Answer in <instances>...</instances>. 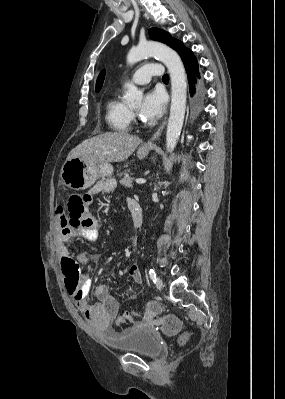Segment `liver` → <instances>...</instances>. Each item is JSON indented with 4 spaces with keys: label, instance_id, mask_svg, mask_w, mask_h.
Here are the masks:
<instances>
[{
    "label": "liver",
    "instance_id": "liver-1",
    "mask_svg": "<svg viewBox=\"0 0 285 399\" xmlns=\"http://www.w3.org/2000/svg\"><path fill=\"white\" fill-rule=\"evenodd\" d=\"M141 139L127 132H106L86 139L70 151L67 160L79 158L93 164L121 162L135 151Z\"/></svg>",
    "mask_w": 285,
    "mask_h": 399
}]
</instances>
